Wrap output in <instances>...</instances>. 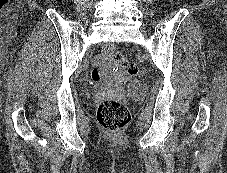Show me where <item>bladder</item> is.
Returning a JSON list of instances; mask_svg holds the SVG:
<instances>
[{
    "mask_svg": "<svg viewBox=\"0 0 227 173\" xmlns=\"http://www.w3.org/2000/svg\"><path fill=\"white\" fill-rule=\"evenodd\" d=\"M128 93L130 96L136 98L139 97L142 93V86L140 83L138 82H132L129 86H128Z\"/></svg>",
    "mask_w": 227,
    "mask_h": 173,
    "instance_id": "bladder-1",
    "label": "bladder"
}]
</instances>
